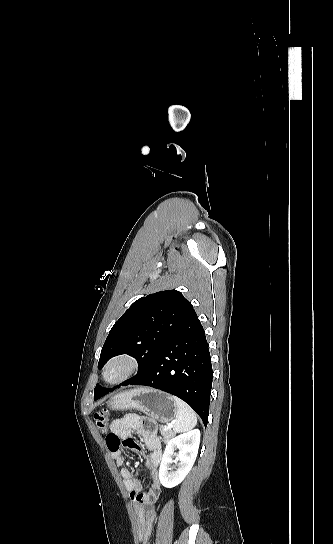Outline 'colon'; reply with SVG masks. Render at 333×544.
<instances>
[{
	"label": "colon",
	"instance_id": "1",
	"mask_svg": "<svg viewBox=\"0 0 333 544\" xmlns=\"http://www.w3.org/2000/svg\"><path fill=\"white\" fill-rule=\"evenodd\" d=\"M96 426L101 432H107L109 424V412L107 409H102L94 414Z\"/></svg>",
	"mask_w": 333,
	"mask_h": 544
}]
</instances>
